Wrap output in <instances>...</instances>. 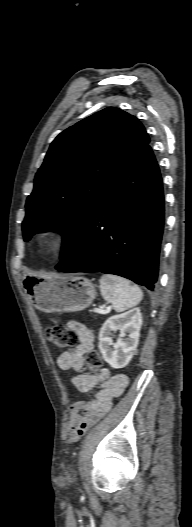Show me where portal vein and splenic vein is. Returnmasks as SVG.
Instances as JSON below:
<instances>
[{
	"mask_svg": "<svg viewBox=\"0 0 192 527\" xmlns=\"http://www.w3.org/2000/svg\"><path fill=\"white\" fill-rule=\"evenodd\" d=\"M94 311L96 313H101V314L105 312L103 309H99V308H95Z\"/></svg>",
	"mask_w": 192,
	"mask_h": 527,
	"instance_id": "portal-vein-and-splenic-vein-1",
	"label": "portal vein and splenic vein"
}]
</instances>
